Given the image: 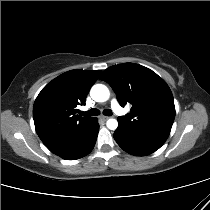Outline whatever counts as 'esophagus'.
Wrapping results in <instances>:
<instances>
[{
	"label": "esophagus",
	"mask_w": 210,
	"mask_h": 210,
	"mask_svg": "<svg viewBox=\"0 0 210 210\" xmlns=\"http://www.w3.org/2000/svg\"><path fill=\"white\" fill-rule=\"evenodd\" d=\"M102 120H104V121H106V120H108L109 119V117L108 116H101L100 117Z\"/></svg>",
	"instance_id": "obj_1"
}]
</instances>
